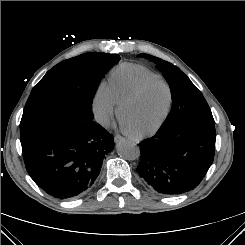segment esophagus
<instances>
[{"label":"esophagus","mask_w":245,"mask_h":245,"mask_svg":"<svg viewBox=\"0 0 245 245\" xmlns=\"http://www.w3.org/2000/svg\"><path fill=\"white\" fill-rule=\"evenodd\" d=\"M124 139L125 138L123 136L119 135V134H116L114 136V140H115L116 143H118V142H120L121 140H124Z\"/></svg>","instance_id":"34e87169"}]
</instances>
